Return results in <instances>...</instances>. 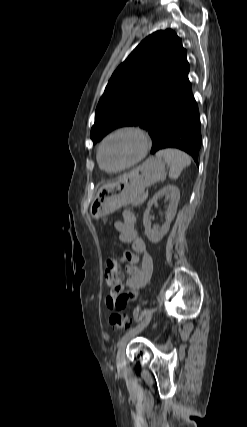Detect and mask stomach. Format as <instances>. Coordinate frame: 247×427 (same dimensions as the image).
I'll list each match as a JSON object with an SVG mask.
<instances>
[{"mask_svg":"<svg viewBox=\"0 0 247 427\" xmlns=\"http://www.w3.org/2000/svg\"><path fill=\"white\" fill-rule=\"evenodd\" d=\"M165 174L162 158L150 157L142 165L121 177L111 186L102 187L90 206V215L99 220L123 206L133 204L146 187L160 181Z\"/></svg>","mask_w":247,"mask_h":427,"instance_id":"0dacf381","label":"stomach"}]
</instances>
